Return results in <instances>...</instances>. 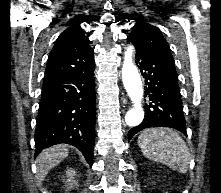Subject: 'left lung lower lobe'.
<instances>
[{
  "label": "left lung lower lobe",
  "instance_id": "1",
  "mask_svg": "<svg viewBox=\"0 0 221 193\" xmlns=\"http://www.w3.org/2000/svg\"><path fill=\"white\" fill-rule=\"evenodd\" d=\"M136 64L145 78V117L128 132V141L149 127L174 128L186 135L185 119L175 64L137 48Z\"/></svg>",
  "mask_w": 221,
  "mask_h": 193
}]
</instances>
